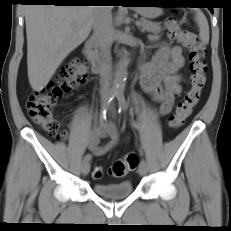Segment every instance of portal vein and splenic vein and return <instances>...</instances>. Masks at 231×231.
<instances>
[{
  "label": "portal vein and splenic vein",
  "instance_id": "1",
  "mask_svg": "<svg viewBox=\"0 0 231 231\" xmlns=\"http://www.w3.org/2000/svg\"><path fill=\"white\" fill-rule=\"evenodd\" d=\"M136 25H137V26H140L141 24H140V22H139V21H137V22H136Z\"/></svg>",
  "mask_w": 231,
  "mask_h": 231
}]
</instances>
